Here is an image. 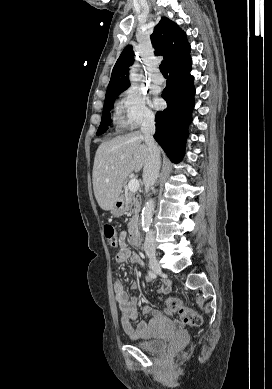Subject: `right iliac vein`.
Here are the masks:
<instances>
[{
  "mask_svg": "<svg viewBox=\"0 0 272 389\" xmlns=\"http://www.w3.org/2000/svg\"><path fill=\"white\" fill-rule=\"evenodd\" d=\"M148 260H149V267L150 269L155 273H161V266L159 262L156 259L155 253H149L148 254Z\"/></svg>",
  "mask_w": 272,
  "mask_h": 389,
  "instance_id": "1",
  "label": "right iliac vein"
}]
</instances>
